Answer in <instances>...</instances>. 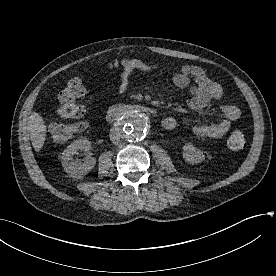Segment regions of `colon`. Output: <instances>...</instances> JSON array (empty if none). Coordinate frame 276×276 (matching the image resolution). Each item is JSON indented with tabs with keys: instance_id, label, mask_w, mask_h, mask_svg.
Here are the masks:
<instances>
[{
	"instance_id": "5ec220e1",
	"label": "colon",
	"mask_w": 276,
	"mask_h": 276,
	"mask_svg": "<svg viewBox=\"0 0 276 276\" xmlns=\"http://www.w3.org/2000/svg\"><path fill=\"white\" fill-rule=\"evenodd\" d=\"M111 69H126L132 67V60L121 59L109 63ZM85 88L79 78L71 79L58 95L57 113L63 119H78L85 113V108L79 100L85 96ZM84 122L77 123H58L50 127L49 135L53 141L62 142L68 140L74 133L84 130ZM227 145L231 150L243 149L246 139L243 132L233 131L227 140Z\"/></svg>"
}]
</instances>
